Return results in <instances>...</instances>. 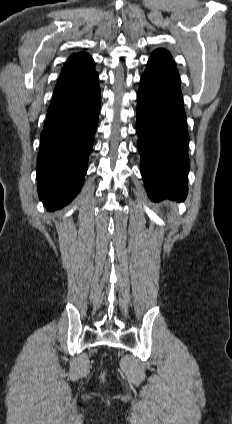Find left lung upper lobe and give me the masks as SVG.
<instances>
[{
    "label": "left lung upper lobe",
    "mask_w": 232,
    "mask_h": 424,
    "mask_svg": "<svg viewBox=\"0 0 232 424\" xmlns=\"http://www.w3.org/2000/svg\"><path fill=\"white\" fill-rule=\"evenodd\" d=\"M151 58L167 59V58H172V57H171V54L168 51H166L164 49H158L152 54Z\"/></svg>",
    "instance_id": "left-lung-upper-lobe-1"
}]
</instances>
